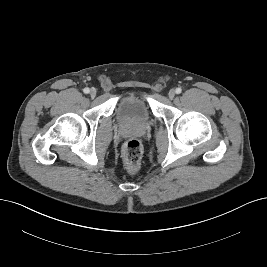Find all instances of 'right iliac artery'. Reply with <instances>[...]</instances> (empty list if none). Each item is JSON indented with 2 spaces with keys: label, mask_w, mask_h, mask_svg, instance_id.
<instances>
[{
  "label": "right iliac artery",
  "mask_w": 267,
  "mask_h": 267,
  "mask_svg": "<svg viewBox=\"0 0 267 267\" xmlns=\"http://www.w3.org/2000/svg\"><path fill=\"white\" fill-rule=\"evenodd\" d=\"M83 92L88 94L90 92V90H89V88H84Z\"/></svg>",
  "instance_id": "82829eb1"
}]
</instances>
